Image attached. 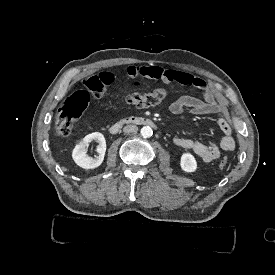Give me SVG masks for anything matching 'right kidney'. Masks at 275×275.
<instances>
[{"label": "right kidney", "instance_id": "obj_1", "mask_svg": "<svg viewBox=\"0 0 275 275\" xmlns=\"http://www.w3.org/2000/svg\"><path fill=\"white\" fill-rule=\"evenodd\" d=\"M97 141L99 145L97 146L98 156L95 158L89 157L87 152L88 144L91 141ZM106 152V141L103 134L99 132H94L86 135L73 149L72 158L75 163L84 169H94L100 166L104 160V155Z\"/></svg>", "mask_w": 275, "mask_h": 275}]
</instances>
